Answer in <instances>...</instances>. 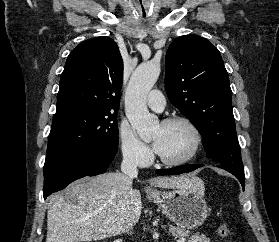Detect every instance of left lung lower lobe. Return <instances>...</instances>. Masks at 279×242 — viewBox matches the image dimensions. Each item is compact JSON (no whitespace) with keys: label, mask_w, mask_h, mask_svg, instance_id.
<instances>
[{"label":"left lung lower lobe","mask_w":279,"mask_h":242,"mask_svg":"<svg viewBox=\"0 0 279 242\" xmlns=\"http://www.w3.org/2000/svg\"><path fill=\"white\" fill-rule=\"evenodd\" d=\"M202 165H196V164H189V165H182L175 168L170 169H164V170H156V173L158 175H177L182 173H188L191 171L196 170L197 168L201 167ZM222 169L227 170L228 172L232 173L236 178L240 181L242 188L244 190L245 188V176L242 173L235 172L231 169L226 168L225 166H219Z\"/></svg>","instance_id":"obj_1"}]
</instances>
